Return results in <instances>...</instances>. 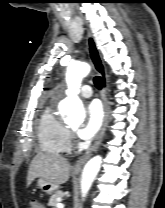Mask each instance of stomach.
Segmentation results:
<instances>
[{"label":"stomach","mask_w":165,"mask_h":208,"mask_svg":"<svg viewBox=\"0 0 165 208\" xmlns=\"http://www.w3.org/2000/svg\"><path fill=\"white\" fill-rule=\"evenodd\" d=\"M75 174L78 173V171H73ZM38 184V187L41 189L42 192L48 194V195H51L53 194L54 192L57 191L58 189V186L55 185L54 183L46 180V179H43V178H40L37 182Z\"/></svg>","instance_id":"0dacf381"}]
</instances>
